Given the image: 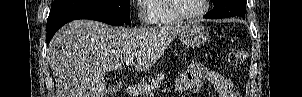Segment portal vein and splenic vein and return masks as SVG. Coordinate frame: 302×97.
<instances>
[{
    "instance_id": "1",
    "label": "portal vein and splenic vein",
    "mask_w": 302,
    "mask_h": 97,
    "mask_svg": "<svg viewBox=\"0 0 302 97\" xmlns=\"http://www.w3.org/2000/svg\"><path fill=\"white\" fill-rule=\"evenodd\" d=\"M133 60H134V57H129L126 61H125V63L128 65V64H131V63H133Z\"/></svg>"
}]
</instances>
